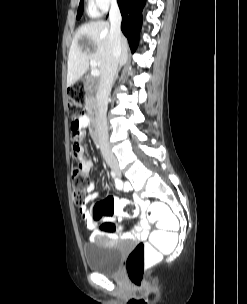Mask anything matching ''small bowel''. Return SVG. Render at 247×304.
I'll use <instances>...</instances> for the list:
<instances>
[{"label": "small bowel", "mask_w": 247, "mask_h": 304, "mask_svg": "<svg viewBox=\"0 0 247 304\" xmlns=\"http://www.w3.org/2000/svg\"><path fill=\"white\" fill-rule=\"evenodd\" d=\"M89 125V117L86 115L81 116L77 122H73L71 124V144H70V151L71 152V159H73V165L75 167H79L81 169V171L85 174L89 173V171L92 169L93 167V161L90 157L88 156H84V144H80L82 141V138L84 136V130L87 128V126ZM116 187L118 189H123V185L121 184V182L116 183ZM95 184L94 182H89V185L87 187V192L88 194L86 195L85 199H84V203L82 206L79 207L80 213L83 217V219L86 222V225L88 227V229L92 230V234L90 236V240H96L99 237H109V238H117L118 235L116 233H107V232H100L97 231V225H98V221L95 220L92 216V214L90 213L87 205L89 203H91L93 200H95L99 193L95 192ZM142 206L146 205V202H141ZM104 221H113L114 218L113 217H109V218H105L103 219ZM149 234V225L146 221V219L142 218L139 223L137 224V226L135 227V229L131 232H127L123 235V238L126 239H133V238H141L144 239L148 236Z\"/></svg>", "instance_id": "c3829d8e"}]
</instances>
